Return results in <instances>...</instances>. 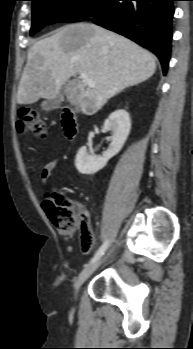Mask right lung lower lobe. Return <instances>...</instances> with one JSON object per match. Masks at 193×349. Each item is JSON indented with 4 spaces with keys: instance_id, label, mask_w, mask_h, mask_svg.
<instances>
[{
    "instance_id": "1",
    "label": "right lung lower lobe",
    "mask_w": 193,
    "mask_h": 349,
    "mask_svg": "<svg viewBox=\"0 0 193 349\" xmlns=\"http://www.w3.org/2000/svg\"><path fill=\"white\" fill-rule=\"evenodd\" d=\"M175 0H101L84 19L151 50L166 73L170 59Z\"/></svg>"
}]
</instances>
